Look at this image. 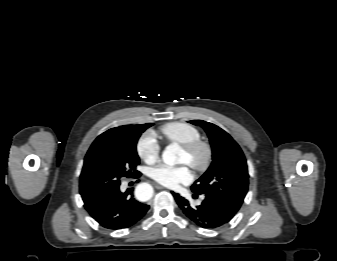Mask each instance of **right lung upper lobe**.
Here are the masks:
<instances>
[{
	"label": "right lung upper lobe",
	"mask_w": 337,
	"mask_h": 261,
	"mask_svg": "<svg viewBox=\"0 0 337 261\" xmlns=\"http://www.w3.org/2000/svg\"><path fill=\"white\" fill-rule=\"evenodd\" d=\"M150 124V123H148ZM148 124H143V125H133V126H137V127H146ZM129 125H125V126H121V127H116V128H112L111 130H119L125 127H128Z\"/></svg>",
	"instance_id": "cb5924a9"
}]
</instances>
